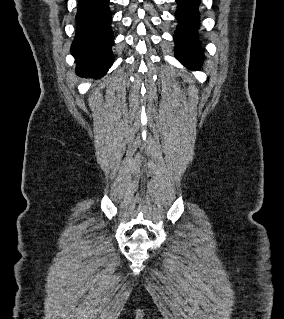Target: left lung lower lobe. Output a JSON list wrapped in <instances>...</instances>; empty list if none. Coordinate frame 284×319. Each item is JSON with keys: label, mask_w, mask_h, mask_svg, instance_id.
Masks as SVG:
<instances>
[{"label": "left lung lower lobe", "mask_w": 284, "mask_h": 319, "mask_svg": "<svg viewBox=\"0 0 284 319\" xmlns=\"http://www.w3.org/2000/svg\"><path fill=\"white\" fill-rule=\"evenodd\" d=\"M176 19L179 22L174 35L176 58L188 68H198L203 61V50L197 38L200 0H176Z\"/></svg>", "instance_id": "0a47b994"}]
</instances>
